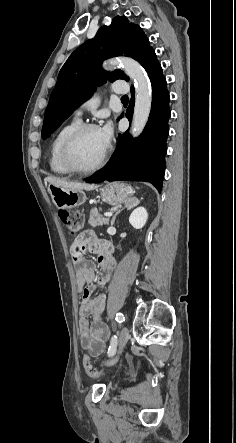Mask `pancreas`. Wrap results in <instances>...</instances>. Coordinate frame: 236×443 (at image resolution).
Wrapping results in <instances>:
<instances>
[{"instance_id": "cf45deb5", "label": "pancreas", "mask_w": 236, "mask_h": 443, "mask_svg": "<svg viewBox=\"0 0 236 443\" xmlns=\"http://www.w3.org/2000/svg\"><path fill=\"white\" fill-rule=\"evenodd\" d=\"M88 223L92 226V227H96V226H103V225H108L109 223V218H104L102 217L97 209H92L90 211V218L88 220Z\"/></svg>"}]
</instances>
